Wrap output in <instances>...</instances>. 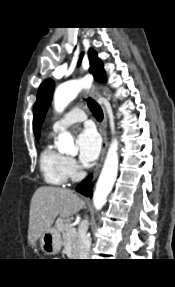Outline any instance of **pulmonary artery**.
I'll return each mask as SVG.
<instances>
[{
    "label": "pulmonary artery",
    "instance_id": "e3ab8cb5",
    "mask_svg": "<svg viewBox=\"0 0 175 287\" xmlns=\"http://www.w3.org/2000/svg\"><path fill=\"white\" fill-rule=\"evenodd\" d=\"M86 119V113L80 107H75L66 113L63 117L54 122L52 127L53 132L57 133L75 123L83 122Z\"/></svg>",
    "mask_w": 175,
    "mask_h": 287
}]
</instances>
